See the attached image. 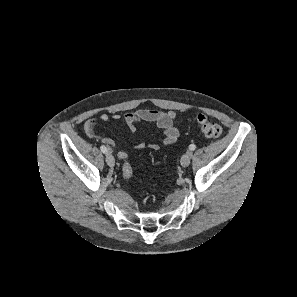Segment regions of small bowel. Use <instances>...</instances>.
Here are the masks:
<instances>
[{
	"mask_svg": "<svg viewBox=\"0 0 297 297\" xmlns=\"http://www.w3.org/2000/svg\"><path fill=\"white\" fill-rule=\"evenodd\" d=\"M174 118L175 113L172 111L164 112L152 109H138L128 112L123 116L127 127L132 132L136 131L137 124L141 122H146L159 128L163 132V143L165 145L174 144L179 137V131L173 122ZM111 119L120 120L121 116L117 113H102L99 116L90 117L84 124L85 134L91 139L100 140L108 148L114 147L116 142L112 138L102 136L96 130L99 121L107 122ZM146 147L150 150H157L159 145L156 143L146 144L145 142H140L134 146V149L142 150Z\"/></svg>",
	"mask_w": 297,
	"mask_h": 297,
	"instance_id": "1",
	"label": "small bowel"
}]
</instances>
